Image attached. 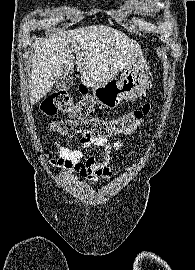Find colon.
Returning <instances> with one entry per match:
<instances>
[{"label": "colon", "mask_w": 195, "mask_h": 270, "mask_svg": "<svg viewBox=\"0 0 195 270\" xmlns=\"http://www.w3.org/2000/svg\"><path fill=\"white\" fill-rule=\"evenodd\" d=\"M94 110L95 101L90 94L84 93L78 101H74L70 93L64 89L50 93L40 105V111L44 115L52 116L59 111L69 115V119L52 123L51 127L55 132L67 136L94 135L98 137H107L122 131L137 119L143 118L150 111V105L142 104L110 120L92 117Z\"/></svg>", "instance_id": "obj_1"}]
</instances>
